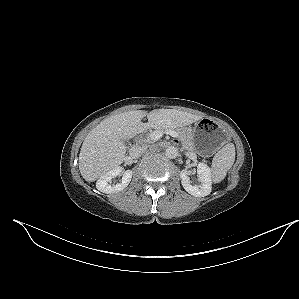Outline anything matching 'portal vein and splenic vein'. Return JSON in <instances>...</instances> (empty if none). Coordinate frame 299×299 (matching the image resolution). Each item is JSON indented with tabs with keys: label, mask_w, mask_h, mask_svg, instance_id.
<instances>
[{
	"label": "portal vein and splenic vein",
	"mask_w": 299,
	"mask_h": 299,
	"mask_svg": "<svg viewBox=\"0 0 299 299\" xmlns=\"http://www.w3.org/2000/svg\"><path fill=\"white\" fill-rule=\"evenodd\" d=\"M165 133L169 134L172 137H177V133L175 131L167 130L165 131ZM162 136H163V132L161 131H153L149 134L150 139L153 141L159 140Z\"/></svg>",
	"instance_id": "portal-vein-and-splenic-vein-1"
}]
</instances>
